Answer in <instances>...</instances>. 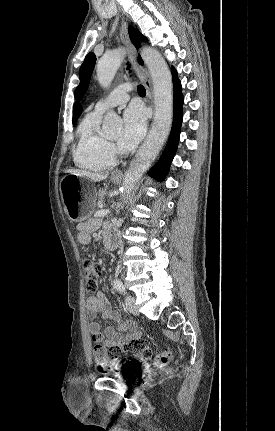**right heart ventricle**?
<instances>
[{
  "label": "right heart ventricle",
  "instance_id": "e07e8e85",
  "mask_svg": "<svg viewBox=\"0 0 275 431\" xmlns=\"http://www.w3.org/2000/svg\"><path fill=\"white\" fill-rule=\"evenodd\" d=\"M101 114L88 113L77 129L78 142L74 150L75 164L88 171H103L115 164L110 143L100 131Z\"/></svg>",
  "mask_w": 275,
  "mask_h": 431
}]
</instances>
